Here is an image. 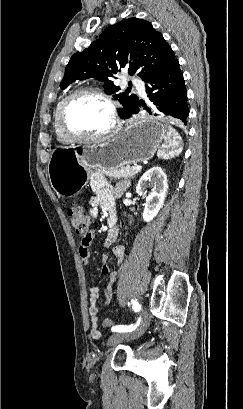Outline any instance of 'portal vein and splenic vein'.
Masks as SVG:
<instances>
[{
    "label": "portal vein and splenic vein",
    "instance_id": "1",
    "mask_svg": "<svg viewBox=\"0 0 243 409\" xmlns=\"http://www.w3.org/2000/svg\"><path fill=\"white\" fill-rule=\"evenodd\" d=\"M134 169L140 171V170L142 169V166H140V165H135V166H134Z\"/></svg>",
    "mask_w": 243,
    "mask_h": 409
}]
</instances>
